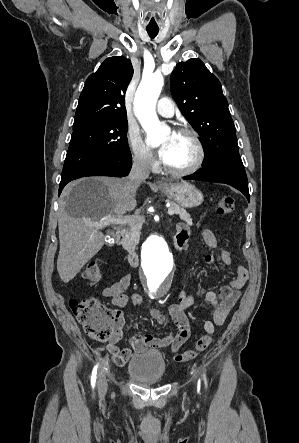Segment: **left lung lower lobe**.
I'll use <instances>...</instances> for the list:
<instances>
[{"mask_svg": "<svg viewBox=\"0 0 299 443\" xmlns=\"http://www.w3.org/2000/svg\"><path fill=\"white\" fill-rule=\"evenodd\" d=\"M183 179L225 183L241 191L247 200L250 201L248 180L243 164L218 162L203 166L194 174L185 176Z\"/></svg>", "mask_w": 299, "mask_h": 443, "instance_id": "0a47b994", "label": "left lung lower lobe"}]
</instances>
